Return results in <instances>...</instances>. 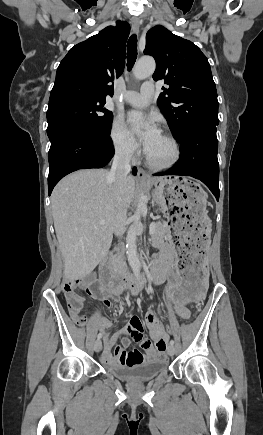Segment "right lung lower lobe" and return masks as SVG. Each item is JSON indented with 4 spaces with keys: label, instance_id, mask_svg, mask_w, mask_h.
<instances>
[{
    "label": "right lung lower lobe",
    "instance_id": "1",
    "mask_svg": "<svg viewBox=\"0 0 263 435\" xmlns=\"http://www.w3.org/2000/svg\"><path fill=\"white\" fill-rule=\"evenodd\" d=\"M50 141L49 195L65 175L79 169L104 167L114 155L110 135L99 136L84 129L57 130ZM136 172L134 169L133 174Z\"/></svg>",
    "mask_w": 263,
    "mask_h": 435
}]
</instances>
